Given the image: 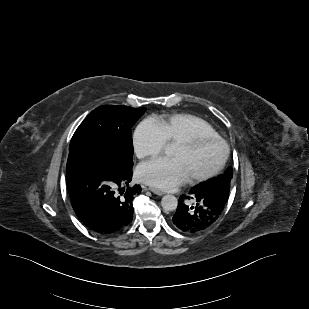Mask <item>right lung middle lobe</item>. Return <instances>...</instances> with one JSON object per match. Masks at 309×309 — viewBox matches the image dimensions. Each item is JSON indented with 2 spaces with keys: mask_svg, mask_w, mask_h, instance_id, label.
Returning <instances> with one entry per match:
<instances>
[{
  "mask_svg": "<svg viewBox=\"0 0 309 309\" xmlns=\"http://www.w3.org/2000/svg\"><path fill=\"white\" fill-rule=\"evenodd\" d=\"M146 108L104 105L93 110L75 131L69 152L99 150L122 164L133 163L131 127Z\"/></svg>",
  "mask_w": 309,
  "mask_h": 309,
  "instance_id": "1",
  "label": "right lung middle lobe"
}]
</instances>
